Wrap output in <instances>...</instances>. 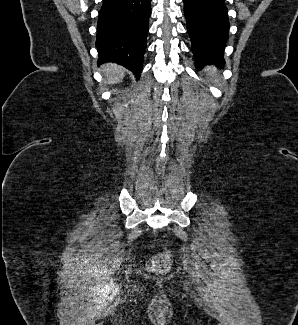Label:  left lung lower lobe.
Here are the masks:
<instances>
[{
    "label": "left lung lower lobe",
    "mask_w": 298,
    "mask_h": 325,
    "mask_svg": "<svg viewBox=\"0 0 298 325\" xmlns=\"http://www.w3.org/2000/svg\"><path fill=\"white\" fill-rule=\"evenodd\" d=\"M196 66L222 65L229 21L224 0H183Z\"/></svg>",
    "instance_id": "obj_1"
}]
</instances>
